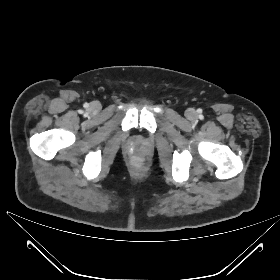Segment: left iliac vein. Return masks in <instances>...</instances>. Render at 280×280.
I'll return each instance as SVG.
<instances>
[{
    "label": "left iliac vein",
    "mask_w": 280,
    "mask_h": 280,
    "mask_svg": "<svg viewBox=\"0 0 280 280\" xmlns=\"http://www.w3.org/2000/svg\"><path fill=\"white\" fill-rule=\"evenodd\" d=\"M186 117H187L188 119H193V118H195V117H196L195 111H194L193 109H188V110L186 111Z\"/></svg>",
    "instance_id": "left-iliac-vein-1"
}]
</instances>
